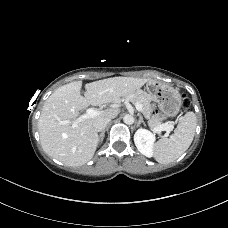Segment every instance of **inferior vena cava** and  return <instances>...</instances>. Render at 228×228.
<instances>
[{
    "label": "inferior vena cava",
    "mask_w": 228,
    "mask_h": 228,
    "mask_svg": "<svg viewBox=\"0 0 228 228\" xmlns=\"http://www.w3.org/2000/svg\"><path fill=\"white\" fill-rule=\"evenodd\" d=\"M110 121H111V118L99 119L95 121L94 123L95 130L97 132L103 131Z\"/></svg>",
    "instance_id": "obj_1"
}]
</instances>
